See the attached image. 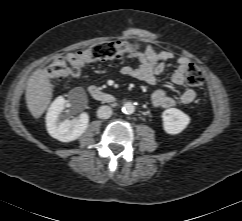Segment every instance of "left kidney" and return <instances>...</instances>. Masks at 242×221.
<instances>
[{
	"label": "left kidney",
	"instance_id": "5707ae66",
	"mask_svg": "<svg viewBox=\"0 0 242 221\" xmlns=\"http://www.w3.org/2000/svg\"><path fill=\"white\" fill-rule=\"evenodd\" d=\"M163 128L166 133H181L190 123V117L177 108L166 109L162 113Z\"/></svg>",
	"mask_w": 242,
	"mask_h": 221
}]
</instances>
